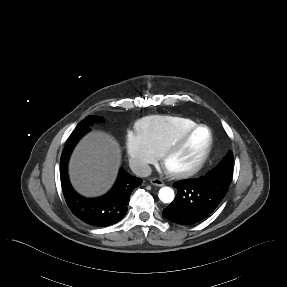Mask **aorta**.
I'll return each instance as SVG.
<instances>
[{
	"label": "aorta",
	"instance_id": "1",
	"mask_svg": "<svg viewBox=\"0 0 287 287\" xmlns=\"http://www.w3.org/2000/svg\"><path fill=\"white\" fill-rule=\"evenodd\" d=\"M159 199L163 203H171L174 200V191L170 187H162L158 194Z\"/></svg>",
	"mask_w": 287,
	"mask_h": 287
}]
</instances>
